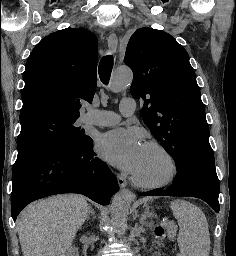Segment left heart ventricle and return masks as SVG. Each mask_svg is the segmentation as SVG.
I'll use <instances>...</instances> for the list:
<instances>
[{"label": "left heart ventricle", "mask_w": 236, "mask_h": 256, "mask_svg": "<svg viewBox=\"0 0 236 256\" xmlns=\"http://www.w3.org/2000/svg\"><path fill=\"white\" fill-rule=\"evenodd\" d=\"M169 170L170 166L164 154L145 146L133 174L145 182L153 183L167 176Z\"/></svg>", "instance_id": "left-heart-ventricle-1"}]
</instances>
